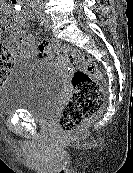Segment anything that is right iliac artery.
<instances>
[{"label": "right iliac artery", "mask_w": 133, "mask_h": 173, "mask_svg": "<svg viewBox=\"0 0 133 173\" xmlns=\"http://www.w3.org/2000/svg\"><path fill=\"white\" fill-rule=\"evenodd\" d=\"M32 14L36 15L37 13H36V11H34Z\"/></svg>", "instance_id": "obj_1"}]
</instances>
